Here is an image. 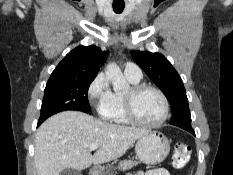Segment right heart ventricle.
Wrapping results in <instances>:
<instances>
[{"instance_id": "1", "label": "right heart ventricle", "mask_w": 233, "mask_h": 175, "mask_svg": "<svg viewBox=\"0 0 233 175\" xmlns=\"http://www.w3.org/2000/svg\"><path fill=\"white\" fill-rule=\"evenodd\" d=\"M127 79L132 85L140 81L129 77ZM99 114L102 119L117 125L126 126L131 123L124 109V93L111 92L110 97L100 106Z\"/></svg>"}]
</instances>
